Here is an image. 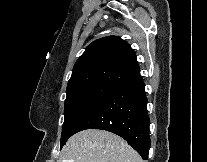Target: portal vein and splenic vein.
<instances>
[{"mask_svg":"<svg viewBox=\"0 0 207 162\" xmlns=\"http://www.w3.org/2000/svg\"><path fill=\"white\" fill-rule=\"evenodd\" d=\"M65 162H74V161H65Z\"/></svg>","mask_w":207,"mask_h":162,"instance_id":"1","label":"portal vein and splenic vein"}]
</instances>
